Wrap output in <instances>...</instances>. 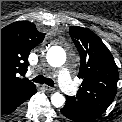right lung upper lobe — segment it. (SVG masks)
Instances as JSON below:
<instances>
[{
	"label": "right lung upper lobe",
	"instance_id": "right-lung-upper-lobe-1",
	"mask_svg": "<svg viewBox=\"0 0 122 122\" xmlns=\"http://www.w3.org/2000/svg\"><path fill=\"white\" fill-rule=\"evenodd\" d=\"M44 36L28 21H17L1 29V92L26 93L36 88L18 75L26 73L29 53Z\"/></svg>",
	"mask_w": 122,
	"mask_h": 122
}]
</instances>
